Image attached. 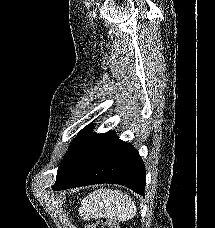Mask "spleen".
Masks as SVG:
<instances>
[{"instance_id":"obj_1","label":"spleen","mask_w":215,"mask_h":228,"mask_svg":"<svg viewBox=\"0 0 215 228\" xmlns=\"http://www.w3.org/2000/svg\"><path fill=\"white\" fill-rule=\"evenodd\" d=\"M136 208L127 194L120 190H96L82 204L83 218H110L116 222H127L134 218Z\"/></svg>"}]
</instances>
